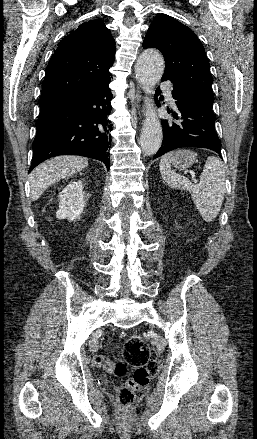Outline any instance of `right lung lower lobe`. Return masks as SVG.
<instances>
[{"label":"right lung lower lobe","instance_id":"obj_1","mask_svg":"<svg viewBox=\"0 0 257 439\" xmlns=\"http://www.w3.org/2000/svg\"><path fill=\"white\" fill-rule=\"evenodd\" d=\"M111 77L91 88L40 104L37 134L32 144L29 172L41 162L59 155H79L102 161L110 168L112 124Z\"/></svg>","mask_w":257,"mask_h":439}]
</instances>
